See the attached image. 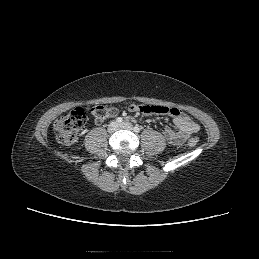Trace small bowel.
Returning a JSON list of instances; mask_svg holds the SVG:
<instances>
[{"mask_svg":"<svg viewBox=\"0 0 259 259\" xmlns=\"http://www.w3.org/2000/svg\"><path fill=\"white\" fill-rule=\"evenodd\" d=\"M128 109L143 115L167 114L172 118L175 129L166 127L163 136L173 145L183 143L189 136L199 131V125L194 122L187 114L177 108L159 105H144L137 102L129 103Z\"/></svg>","mask_w":259,"mask_h":259,"instance_id":"small-bowel-1","label":"small bowel"}]
</instances>
